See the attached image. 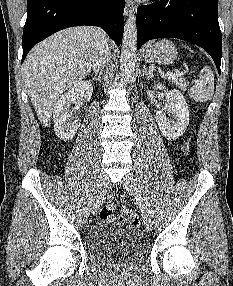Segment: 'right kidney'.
Instances as JSON below:
<instances>
[{
	"instance_id": "1",
	"label": "right kidney",
	"mask_w": 233,
	"mask_h": 286,
	"mask_svg": "<svg viewBox=\"0 0 233 286\" xmlns=\"http://www.w3.org/2000/svg\"><path fill=\"white\" fill-rule=\"evenodd\" d=\"M93 92L90 81H79L64 93L53 110L54 131L64 141L74 137L80 126V120L72 117L70 106L79 97L89 100Z\"/></svg>"
}]
</instances>
